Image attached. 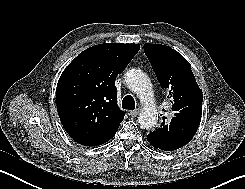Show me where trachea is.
I'll use <instances>...</instances> for the list:
<instances>
[{
  "mask_svg": "<svg viewBox=\"0 0 245 189\" xmlns=\"http://www.w3.org/2000/svg\"><path fill=\"white\" fill-rule=\"evenodd\" d=\"M122 108L126 110L135 109V100L131 95H126L122 100Z\"/></svg>",
  "mask_w": 245,
  "mask_h": 189,
  "instance_id": "1",
  "label": "trachea"
}]
</instances>
